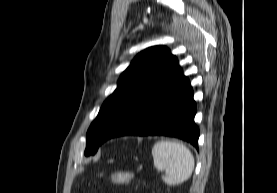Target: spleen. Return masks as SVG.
Listing matches in <instances>:
<instances>
[{
	"mask_svg": "<svg viewBox=\"0 0 277 193\" xmlns=\"http://www.w3.org/2000/svg\"><path fill=\"white\" fill-rule=\"evenodd\" d=\"M152 156L155 168L165 171L162 179L169 186L183 183L193 172L194 156L185 145L179 142H157L153 146Z\"/></svg>",
	"mask_w": 277,
	"mask_h": 193,
	"instance_id": "3e777b00",
	"label": "spleen"
}]
</instances>
